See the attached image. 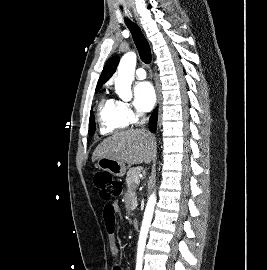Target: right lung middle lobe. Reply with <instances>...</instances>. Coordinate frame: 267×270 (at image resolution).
Returning <instances> with one entry per match:
<instances>
[{"label": "right lung middle lobe", "mask_w": 267, "mask_h": 270, "mask_svg": "<svg viewBox=\"0 0 267 270\" xmlns=\"http://www.w3.org/2000/svg\"><path fill=\"white\" fill-rule=\"evenodd\" d=\"M99 90H96V93ZM95 132V120H94V114L93 111L90 113V120H89V135H93Z\"/></svg>", "instance_id": "dd1d6c3e"}]
</instances>
